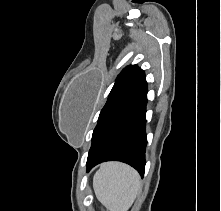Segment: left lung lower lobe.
I'll list each match as a JSON object with an SVG mask.
<instances>
[{
    "label": "left lung lower lobe",
    "mask_w": 221,
    "mask_h": 211,
    "mask_svg": "<svg viewBox=\"0 0 221 211\" xmlns=\"http://www.w3.org/2000/svg\"><path fill=\"white\" fill-rule=\"evenodd\" d=\"M147 83L142 91L107 125L91 146L87 170L105 161H120L134 167L143 177L145 170V114Z\"/></svg>",
    "instance_id": "left-lung-lower-lobe-1"
}]
</instances>
